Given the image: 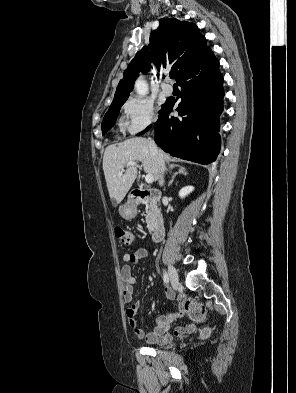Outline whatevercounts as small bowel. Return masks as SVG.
<instances>
[{
	"instance_id": "c3829d8e",
	"label": "small bowel",
	"mask_w": 296,
	"mask_h": 393,
	"mask_svg": "<svg viewBox=\"0 0 296 393\" xmlns=\"http://www.w3.org/2000/svg\"><path fill=\"white\" fill-rule=\"evenodd\" d=\"M148 254L149 251L147 248H139L133 252L124 254V264L120 269V276L123 283V299L125 303L130 304L126 309V315L133 334L137 338H145V341L149 344L165 345L172 340L173 336L182 337L188 333H192L196 329V324L191 322L184 326H178L175 328L173 334L170 333L169 330L172 320L182 316L186 312L183 307V302L186 297L184 294H179V308L177 312L159 316L156 319L153 330L146 335L144 334L143 330L138 328L136 316L140 307V302H133L136 279L132 275V265L138 264L141 260L146 258ZM165 294L168 299H173L175 297L174 291L168 286L165 287Z\"/></svg>"
}]
</instances>
